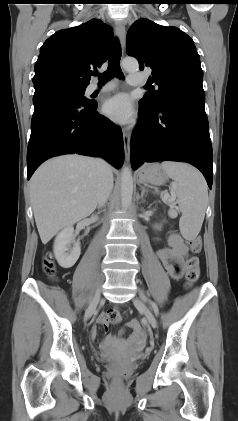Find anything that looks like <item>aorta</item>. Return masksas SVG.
<instances>
[{"instance_id":"aorta-1","label":"aorta","mask_w":238,"mask_h":421,"mask_svg":"<svg viewBox=\"0 0 238 421\" xmlns=\"http://www.w3.org/2000/svg\"><path fill=\"white\" fill-rule=\"evenodd\" d=\"M121 66L128 72L137 71L139 69L138 61L135 58L127 57L122 60ZM133 194V177L131 169L125 166L121 173V204L124 209L130 207Z\"/></svg>"}]
</instances>
